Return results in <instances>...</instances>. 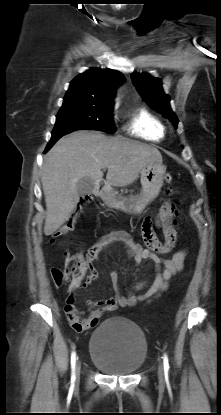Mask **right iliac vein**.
<instances>
[{"mask_svg": "<svg viewBox=\"0 0 221 415\" xmlns=\"http://www.w3.org/2000/svg\"><path fill=\"white\" fill-rule=\"evenodd\" d=\"M80 371H81V365H80V362H77L76 368H75V377L77 378L79 377Z\"/></svg>", "mask_w": 221, "mask_h": 415, "instance_id": "right-iliac-vein-1", "label": "right iliac vein"}]
</instances>
